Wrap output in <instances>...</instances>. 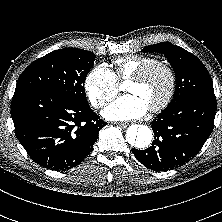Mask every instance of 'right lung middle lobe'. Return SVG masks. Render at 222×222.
Masks as SVG:
<instances>
[{
  "mask_svg": "<svg viewBox=\"0 0 222 222\" xmlns=\"http://www.w3.org/2000/svg\"><path fill=\"white\" fill-rule=\"evenodd\" d=\"M94 53L63 48L33 61L19 77L16 89L40 90L88 103L84 81L93 67Z\"/></svg>",
  "mask_w": 222,
  "mask_h": 222,
  "instance_id": "right-lung-middle-lobe-1",
  "label": "right lung middle lobe"
}]
</instances>
